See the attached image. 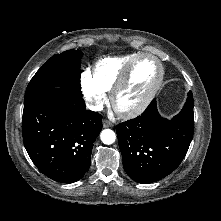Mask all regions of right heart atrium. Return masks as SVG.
Returning <instances> with one entry per match:
<instances>
[{
	"instance_id": "right-heart-atrium-1",
	"label": "right heart atrium",
	"mask_w": 221,
	"mask_h": 221,
	"mask_svg": "<svg viewBox=\"0 0 221 221\" xmlns=\"http://www.w3.org/2000/svg\"><path fill=\"white\" fill-rule=\"evenodd\" d=\"M80 81L88 107L92 110H99L106 100V91L95 81L90 71H84Z\"/></svg>"
}]
</instances>
